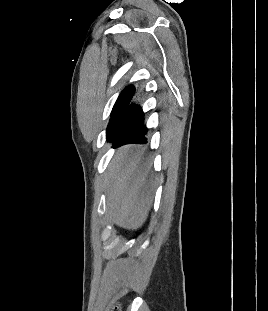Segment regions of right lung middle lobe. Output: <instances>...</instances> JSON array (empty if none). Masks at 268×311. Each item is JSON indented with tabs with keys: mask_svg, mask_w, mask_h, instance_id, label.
<instances>
[{
	"mask_svg": "<svg viewBox=\"0 0 268 311\" xmlns=\"http://www.w3.org/2000/svg\"><path fill=\"white\" fill-rule=\"evenodd\" d=\"M134 92H135L134 88H126L119 95L111 112V119L109 121L106 131L107 133L115 126L118 120L122 117L124 111L126 110V107L130 103L134 95Z\"/></svg>",
	"mask_w": 268,
	"mask_h": 311,
	"instance_id": "right-lung-middle-lobe-1",
	"label": "right lung middle lobe"
}]
</instances>
